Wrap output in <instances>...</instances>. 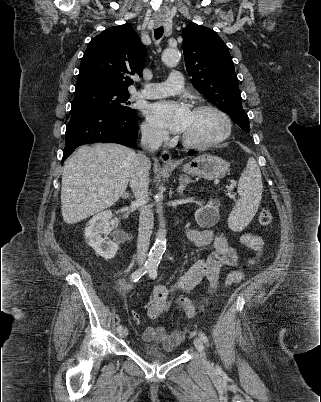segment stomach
Returning a JSON list of instances; mask_svg holds the SVG:
<instances>
[{"label":"stomach","instance_id":"0dacf381","mask_svg":"<svg viewBox=\"0 0 321 402\" xmlns=\"http://www.w3.org/2000/svg\"><path fill=\"white\" fill-rule=\"evenodd\" d=\"M228 163L221 157L202 154L183 166L187 174L203 177L208 180L223 178L228 171Z\"/></svg>","mask_w":321,"mask_h":402}]
</instances>
